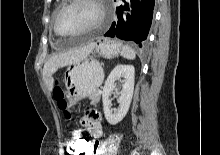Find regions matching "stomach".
<instances>
[{"label":"stomach","instance_id":"0dacf381","mask_svg":"<svg viewBox=\"0 0 220 155\" xmlns=\"http://www.w3.org/2000/svg\"><path fill=\"white\" fill-rule=\"evenodd\" d=\"M121 44L116 40L102 39L95 46L94 52L106 58L116 57ZM104 72L101 64L94 58L84 60L69 66L64 83L67 90L68 108H72L80 100L92 96L102 84Z\"/></svg>","mask_w":220,"mask_h":155}]
</instances>
